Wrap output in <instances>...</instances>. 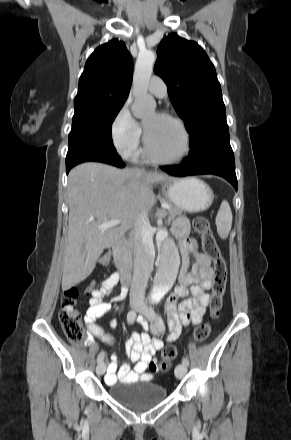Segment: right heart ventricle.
<instances>
[{
    "mask_svg": "<svg viewBox=\"0 0 291 440\" xmlns=\"http://www.w3.org/2000/svg\"><path fill=\"white\" fill-rule=\"evenodd\" d=\"M139 156H141V157L143 158V160H145V156H144V154H143L141 151H139V152L134 156V158H137V157H139Z\"/></svg>",
    "mask_w": 291,
    "mask_h": 440,
    "instance_id": "1",
    "label": "right heart ventricle"
}]
</instances>
